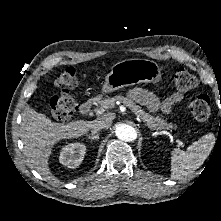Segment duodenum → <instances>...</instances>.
<instances>
[{
	"mask_svg": "<svg viewBox=\"0 0 221 221\" xmlns=\"http://www.w3.org/2000/svg\"><path fill=\"white\" fill-rule=\"evenodd\" d=\"M94 104H95L94 99H89V100L85 101L84 103L81 104V106L79 108V114L80 115H87L92 110Z\"/></svg>",
	"mask_w": 221,
	"mask_h": 221,
	"instance_id": "410a0bca",
	"label": "duodenum"
}]
</instances>
